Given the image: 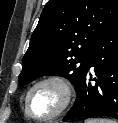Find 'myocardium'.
Here are the masks:
<instances>
[{"label": "myocardium", "mask_w": 118, "mask_h": 123, "mask_svg": "<svg viewBox=\"0 0 118 123\" xmlns=\"http://www.w3.org/2000/svg\"><path fill=\"white\" fill-rule=\"evenodd\" d=\"M45 84H54L57 87H59L62 91L63 99H62V102H61L59 108L54 113H52L51 115L45 116V117H39L32 113V111L30 109L29 102H30L31 94L38 87L45 85ZM73 95H74L73 86L67 78H65L62 75H58V74H52V75L45 76V77L39 79L38 81H36L28 89V91L25 95V112L30 118L37 120V121L53 120V119L61 116L67 110V108L70 106V104L72 102Z\"/></svg>", "instance_id": "1"}]
</instances>
